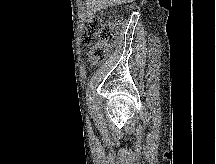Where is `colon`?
Wrapping results in <instances>:
<instances>
[{
  "label": "colon",
  "instance_id": "obj_1",
  "mask_svg": "<svg viewBox=\"0 0 216 164\" xmlns=\"http://www.w3.org/2000/svg\"><path fill=\"white\" fill-rule=\"evenodd\" d=\"M122 19L116 17L111 20H104L97 16L87 22V34L85 42L90 43L94 38L96 41L90 48L89 61L93 65L101 64L108 57L111 47L116 43L119 26Z\"/></svg>",
  "mask_w": 216,
  "mask_h": 164
}]
</instances>
